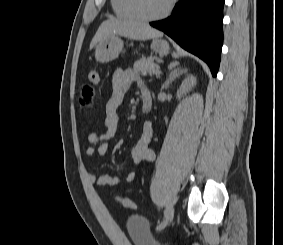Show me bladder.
Listing matches in <instances>:
<instances>
[{"instance_id":"obj_1","label":"bladder","mask_w":283,"mask_h":245,"mask_svg":"<svg viewBox=\"0 0 283 245\" xmlns=\"http://www.w3.org/2000/svg\"><path fill=\"white\" fill-rule=\"evenodd\" d=\"M126 231L133 245H164L155 237L149 221L141 215L128 217Z\"/></svg>"}]
</instances>
